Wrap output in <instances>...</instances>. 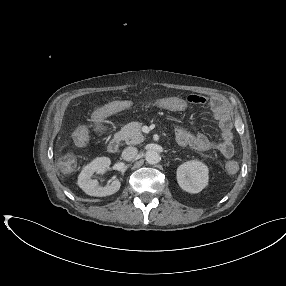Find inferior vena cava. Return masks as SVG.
I'll return each mask as SVG.
<instances>
[{"label":"inferior vena cava","mask_w":286,"mask_h":286,"mask_svg":"<svg viewBox=\"0 0 286 286\" xmlns=\"http://www.w3.org/2000/svg\"><path fill=\"white\" fill-rule=\"evenodd\" d=\"M138 153V150L136 147H127L122 152V158L125 161H131L133 160Z\"/></svg>","instance_id":"obj_1"}]
</instances>
